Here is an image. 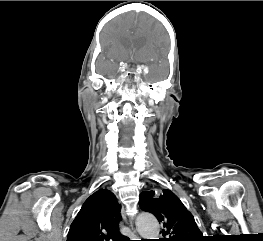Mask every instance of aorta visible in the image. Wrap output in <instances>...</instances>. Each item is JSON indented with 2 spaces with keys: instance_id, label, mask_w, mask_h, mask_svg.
Returning <instances> with one entry per match:
<instances>
[{
  "instance_id": "obj_1",
  "label": "aorta",
  "mask_w": 263,
  "mask_h": 241,
  "mask_svg": "<svg viewBox=\"0 0 263 241\" xmlns=\"http://www.w3.org/2000/svg\"><path fill=\"white\" fill-rule=\"evenodd\" d=\"M136 226L140 236L145 239H154L159 234L158 221L150 213H140L137 217Z\"/></svg>"
}]
</instances>
